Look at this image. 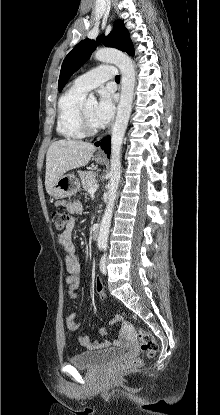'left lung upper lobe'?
<instances>
[{"label":"left lung upper lobe","mask_w":220,"mask_h":415,"mask_svg":"<svg viewBox=\"0 0 220 415\" xmlns=\"http://www.w3.org/2000/svg\"><path fill=\"white\" fill-rule=\"evenodd\" d=\"M99 39L105 46L115 47L129 55H134V47L129 32L121 20L115 21L113 31L107 37L102 35ZM99 43L98 39L96 41L85 39L79 42L69 52L61 67L58 85L59 91L66 85L70 76L89 59Z\"/></svg>","instance_id":"5c2ea615"}]
</instances>
